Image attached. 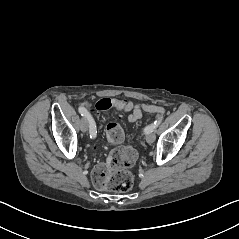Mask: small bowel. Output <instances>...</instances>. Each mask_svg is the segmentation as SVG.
I'll use <instances>...</instances> for the list:
<instances>
[{
	"mask_svg": "<svg viewBox=\"0 0 239 239\" xmlns=\"http://www.w3.org/2000/svg\"><path fill=\"white\" fill-rule=\"evenodd\" d=\"M115 103V109L123 113H128V119L131 122H134L142 117V111L139 105L130 102L113 99Z\"/></svg>",
	"mask_w": 239,
	"mask_h": 239,
	"instance_id": "obj_1",
	"label": "small bowel"
}]
</instances>
